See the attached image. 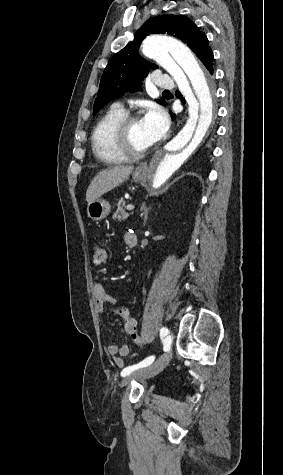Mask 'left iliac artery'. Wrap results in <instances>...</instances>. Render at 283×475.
Listing matches in <instances>:
<instances>
[{
    "instance_id": "44dca946",
    "label": "left iliac artery",
    "mask_w": 283,
    "mask_h": 475,
    "mask_svg": "<svg viewBox=\"0 0 283 475\" xmlns=\"http://www.w3.org/2000/svg\"><path fill=\"white\" fill-rule=\"evenodd\" d=\"M168 333H169V330L166 327L161 328V330H160L161 338H164ZM154 359H155V356H149L146 359H144L142 362H140L139 364L129 366V367L123 369V371L121 372V376L125 377V376L129 375L130 373H132L133 371H135L139 368L149 366L150 364L153 363Z\"/></svg>"
}]
</instances>
